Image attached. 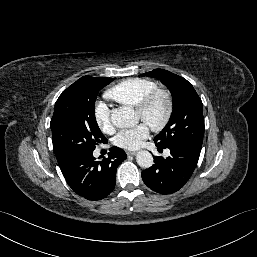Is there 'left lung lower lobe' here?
Returning a JSON list of instances; mask_svg holds the SVG:
<instances>
[{"label":"left lung lower lobe","instance_id":"1","mask_svg":"<svg viewBox=\"0 0 257 257\" xmlns=\"http://www.w3.org/2000/svg\"><path fill=\"white\" fill-rule=\"evenodd\" d=\"M163 148L158 146V149ZM166 148L170 149L171 155L167 158L155 156V164L142 172L143 182L160 194H170L184 186L195 170L201 152L177 144Z\"/></svg>","mask_w":257,"mask_h":257}]
</instances>
